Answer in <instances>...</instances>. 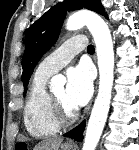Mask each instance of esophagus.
<instances>
[{
	"label": "esophagus",
	"instance_id": "1",
	"mask_svg": "<svg viewBox=\"0 0 139 150\" xmlns=\"http://www.w3.org/2000/svg\"><path fill=\"white\" fill-rule=\"evenodd\" d=\"M66 144H67V145H73L74 142H73L72 140H68V141H66Z\"/></svg>",
	"mask_w": 139,
	"mask_h": 150
}]
</instances>
